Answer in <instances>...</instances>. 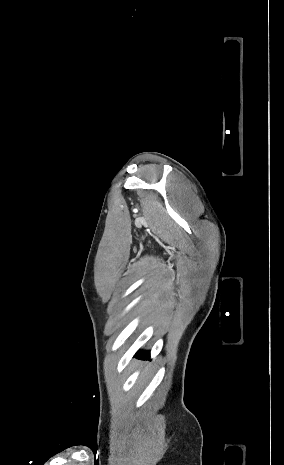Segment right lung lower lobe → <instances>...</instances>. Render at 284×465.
I'll return each mask as SVG.
<instances>
[{
    "label": "right lung lower lobe",
    "instance_id": "right-lung-lower-lobe-1",
    "mask_svg": "<svg viewBox=\"0 0 284 465\" xmlns=\"http://www.w3.org/2000/svg\"><path fill=\"white\" fill-rule=\"evenodd\" d=\"M149 352H142V353H138V356L142 359H149Z\"/></svg>",
    "mask_w": 284,
    "mask_h": 465
}]
</instances>
